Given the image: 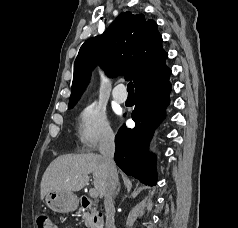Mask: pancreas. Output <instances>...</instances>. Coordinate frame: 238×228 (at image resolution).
<instances>
[{
	"label": "pancreas",
	"instance_id": "obj_1",
	"mask_svg": "<svg viewBox=\"0 0 238 228\" xmlns=\"http://www.w3.org/2000/svg\"><path fill=\"white\" fill-rule=\"evenodd\" d=\"M78 213L82 214L85 225L88 228H99L98 224L94 222V218L97 215L96 208H91L90 212H86L83 208H80Z\"/></svg>",
	"mask_w": 238,
	"mask_h": 228
}]
</instances>
